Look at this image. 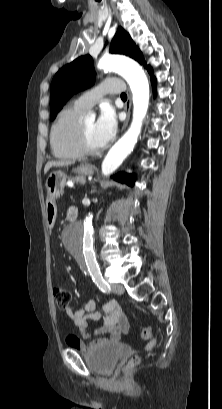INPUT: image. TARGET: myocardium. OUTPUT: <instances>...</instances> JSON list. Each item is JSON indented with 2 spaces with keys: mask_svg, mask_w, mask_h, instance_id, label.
<instances>
[{
  "mask_svg": "<svg viewBox=\"0 0 222 409\" xmlns=\"http://www.w3.org/2000/svg\"><path fill=\"white\" fill-rule=\"evenodd\" d=\"M76 146L82 155L95 156L100 154L101 148H90L86 140V132L83 121H80L76 133Z\"/></svg>",
  "mask_w": 222,
  "mask_h": 409,
  "instance_id": "1",
  "label": "myocardium"
}]
</instances>
